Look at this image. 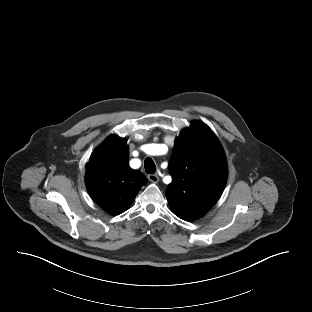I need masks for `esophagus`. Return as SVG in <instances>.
I'll return each mask as SVG.
<instances>
[{"instance_id":"34e87169","label":"esophagus","mask_w":312,"mask_h":312,"mask_svg":"<svg viewBox=\"0 0 312 312\" xmlns=\"http://www.w3.org/2000/svg\"><path fill=\"white\" fill-rule=\"evenodd\" d=\"M147 177L151 182H154V183L158 182V180H159V178L156 174H148Z\"/></svg>"}]
</instances>
